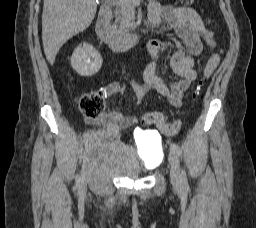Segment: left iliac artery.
I'll return each mask as SVG.
<instances>
[{
  "mask_svg": "<svg viewBox=\"0 0 256 228\" xmlns=\"http://www.w3.org/2000/svg\"><path fill=\"white\" fill-rule=\"evenodd\" d=\"M171 149L174 150L179 156H180L181 153H182V151H181L179 145L176 144V143H172V144H171ZM181 177H182V184H183V186L186 187V186L188 185V181H187V176H186L185 170L182 171Z\"/></svg>",
  "mask_w": 256,
  "mask_h": 228,
  "instance_id": "1",
  "label": "left iliac artery"
}]
</instances>
